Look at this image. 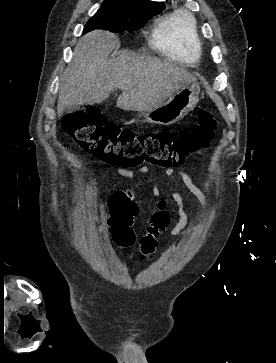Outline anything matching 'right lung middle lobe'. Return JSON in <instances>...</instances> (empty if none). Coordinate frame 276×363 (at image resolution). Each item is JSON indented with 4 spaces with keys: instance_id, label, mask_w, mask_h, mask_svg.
<instances>
[{
    "instance_id": "1",
    "label": "right lung middle lobe",
    "mask_w": 276,
    "mask_h": 363,
    "mask_svg": "<svg viewBox=\"0 0 276 363\" xmlns=\"http://www.w3.org/2000/svg\"><path fill=\"white\" fill-rule=\"evenodd\" d=\"M164 7L146 5L119 6L103 3L101 8L86 23L83 33L95 29L114 33L140 29L152 16L159 14Z\"/></svg>"
}]
</instances>
